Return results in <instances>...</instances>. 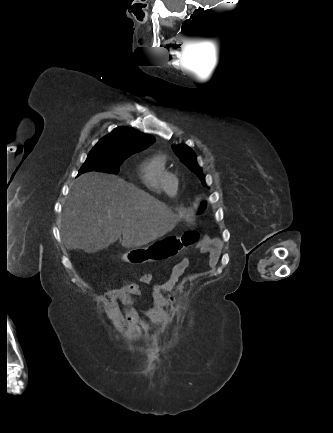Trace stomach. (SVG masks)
Returning a JSON list of instances; mask_svg holds the SVG:
<instances>
[{"mask_svg": "<svg viewBox=\"0 0 333 433\" xmlns=\"http://www.w3.org/2000/svg\"><path fill=\"white\" fill-rule=\"evenodd\" d=\"M207 210V204L204 199L200 200L197 207V215L203 214Z\"/></svg>", "mask_w": 333, "mask_h": 433, "instance_id": "0dacf381", "label": "stomach"}]
</instances>
